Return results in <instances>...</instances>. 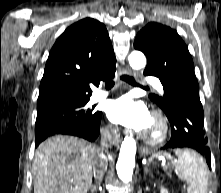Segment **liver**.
<instances>
[{
	"label": "liver",
	"mask_w": 221,
	"mask_h": 193,
	"mask_svg": "<svg viewBox=\"0 0 221 193\" xmlns=\"http://www.w3.org/2000/svg\"><path fill=\"white\" fill-rule=\"evenodd\" d=\"M100 153L98 146L77 137L49 138L35 152L34 193H87Z\"/></svg>",
	"instance_id": "6515ba94"
}]
</instances>
